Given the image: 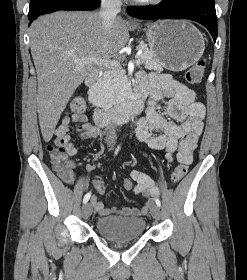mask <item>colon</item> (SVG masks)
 I'll return each mask as SVG.
<instances>
[{
    "mask_svg": "<svg viewBox=\"0 0 247 280\" xmlns=\"http://www.w3.org/2000/svg\"><path fill=\"white\" fill-rule=\"evenodd\" d=\"M206 62L205 60H198L186 73V80L189 83H199L205 72ZM70 109L76 115H83L86 109L85 102L81 98H75L70 103ZM47 151L50 155L51 162L57 171L58 175L62 179H67L71 175V164L67 159V152L64 147L59 145H48ZM187 174V167L184 164H180L175 167L171 174V182L176 184L180 182ZM122 185L126 190L133 188V182L128 177L122 178Z\"/></svg>",
    "mask_w": 247,
    "mask_h": 280,
    "instance_id": "colon-1",
    "label": "colon"
}]
</instances>
